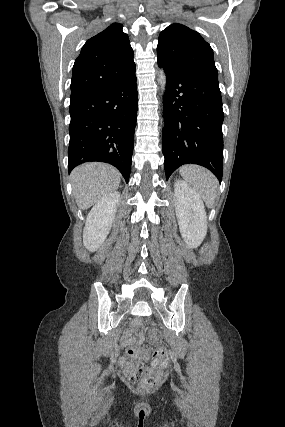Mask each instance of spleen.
Here are the masks:
<instances>
[{
	"label": "spleen",
	"mask_w": 285,
	"mask_h": 427,
	"mask_svg": "<svg viewBox=\"0 0 285 427\" xmlns=\"http://www.w3.org/2000/svg\"><path fill=\"white\" fill-rule=\"evenodd\" d=\"M179 173L199 194L206 206L211 208L217 196V178L210 171L197 165L182 166Z\"/></svg>",
	"instance_id": "3e777b00"
}]
</instances>
